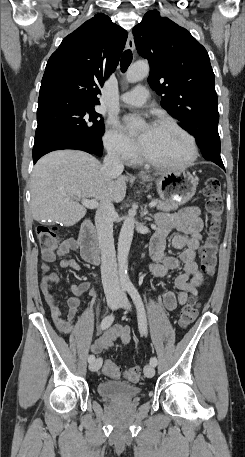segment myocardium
Listing matches in <instances>:
<instances>
[{
  "instance_id": "obj_1",
  "label": "myocardium",
  "mask_w": 245,
  "mask_h": 457,
  "mask_svg": "<svg viewBox=\"0 0 245 457\" xmlns=\"http://www.w3.org/2000/svg\"><path fill=\"white\" fill-rule=\"evenodd\" d=\"M163 127L173 128V129L179 131L181 134H183L186 137V139L188 140V143H189L188 157L183 162L174 164V163H170V162L160 161L139 150L140 157L147 164H149L153 167L159 168V169L182 170V169H185V168L191 166L197 156L196 142H195L194 137L187 130L182 128L179 124H177L176 122L169 120V119H162L155 126V128H163Z\"/></svg>"
}]
</instances>
